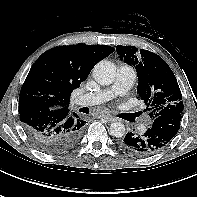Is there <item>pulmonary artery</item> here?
I'll return each mask as SVG.
<instances>
[{
  "label": "pulmonary artery",
  "instance_id": "obj_1",
  "mask_svg": "<svg viewBox=\"0 0 197 197\" xmlns=\"http://www.w3.org/2000/svg\"><path fill=\"white\" fill-rule=\"evenodd\" d=\"M136 77V70L129 65L123 64L118 68L116 80L110 88L85 93L78 98V104L82 106H93L108 101L112 97L127 91L134 84ZM139 130L140 132H145L146 127L141 126Z\"/></svg>",
  "mask_w": 197,
  "mask_h": 197
}]
</instances>
